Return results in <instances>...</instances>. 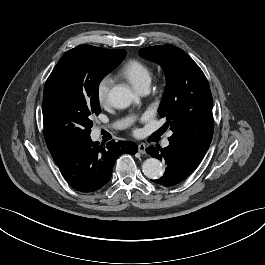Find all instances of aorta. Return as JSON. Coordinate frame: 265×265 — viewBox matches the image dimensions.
Segmentation results:
<instances>
[{"label":"aorta","mask_w":265,"mask_h":265,"mask_svg":"<svg viewBox=\"0 0 265 265\" xmlns=\"http://www.w3.org/2000/svg\"><path fill=\"white\" fill-rule=\"evenodd\" d=\"M137 97L126 86H114L109 92V100L112 106L118 109L129 107ZM144 175L149 179H158L163 174L161 162L156 158L146 159L142 165Z\"/></svg>","instance_id":"obj_1"}]
</instances>
